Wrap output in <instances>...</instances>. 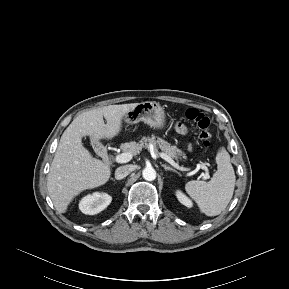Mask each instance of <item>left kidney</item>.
I'll list each match as a JSON object with an SVG mask.
<instances>
[{
    "label": "left kidney",
    "mask_w": 289,
    "mask_h": 289,
    "mask_svg": "<svg viewBox=\"0 0 289 289\" xmlns=\"http://www.w3.org/2000/svg\"><path fill=\"white\" fill-rule=\"evenodd\" d=\"M176 196L179 200V202L183 205H185L186 207L191 208L193 206L192 201L180 190L176 191Z\"/></svg>",
    "instance_id": "left-kidney-1"
}]
</instances>
